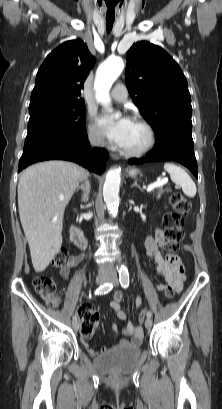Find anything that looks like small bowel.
<instances>
[{
	"instance_id": "small-bowel-1",
	"label": "small bowel",
	"mask_w": 222,
	"mask_h": 409,
	"mask_svg": "<svg viewBox=\"0 0 222 409\" xmlns=\"http://www.w3.org/2000/svg\"><path fill=\"white\" fill-rule=\"evenodd\" d=\"M164 245V232L160 229H157L153 235H150L146 238L145 249L147 256L153 258L155 261L157 271L163 276L165 283L157 285L158 291H164L166 287L174 289L176 293H179L182 290L183 280L185 278L184 270L185 263L183 256H168L166 260L160 248ZM82 260L80 255H72L67 264L61 269L60 273L64 278H67L72 267L78 265ZM123 294L119 291H116L112 295L110 301V307L115 311L118 319L125 321V325L122 329L118 325H112V332L114 334L122 333L127 338H122L119 340L118 345L125 346L128 344H139L142 341L143 331L140 327L134 325L129 321L128 311L122 308ZM142 305V298H136V306L140 308ZM85 340V339H84ZM89 355L96 356L98 354L93 348L89 347L85 343ZM109 350L108 347L103 346L100 350L101 354L107 353Z\"/></svg>"
}]
</instances>
